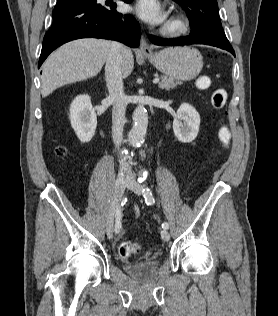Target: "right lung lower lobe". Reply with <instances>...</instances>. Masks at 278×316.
Segmentation results:
<instances>
[{
	"label": "right lung lower lobe",
	"mask_w": 278,
	"mask_h": 316,
	"mask_svg": "<svg viewBox=\"0 0 278 316\" xmlns=\"http://www.w3.org/2000/svg\"><path fill=\"white\" fill-rule=\"evenodd\" d=\"M130 3L133 0H122ZM116 4H98L96 0H69L56 4L51 28L43 39L38 68L60 45L79 38H103L138 47L140 27L130 15H122Z\"/></svg>",
	"instance_id": "1"
}]
</instances>
